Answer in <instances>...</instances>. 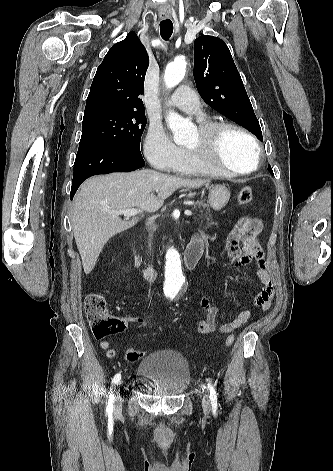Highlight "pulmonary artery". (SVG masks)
I'll return each instance as SVG.
<instances>
[{"label": "pulmonary artery", "instance_id": "pulmonary-artery-1", "mask_svg": "<svg viewBox=\"0 0 333 471\" xmlns=\"http://www.w3.org/2000/svg\"><path fill=\"white\" fill-rule=\"evenodd\" d=\"M167 104L189 114L201 115L199 99L195 92L186 85L180 86L167 101Z\"/></svg>", "mask_w": 333, "mask_h": 471}]
</instances>
